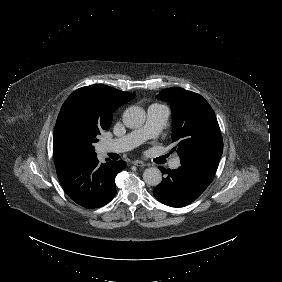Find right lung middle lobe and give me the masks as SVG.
Wrapping results in <instances>:
<instances>
[{
    "instance_id": "1",
    "label": "right lung middle lobe",
    "mask_w": 282,
    "mask_h": 282,
    "mask_svg": "<svg viewBox=\"0 0 282 282\" xmlns=\"http://www.w3.org/2000/svg\"><path fill=\"white\" fill-rule=\"evenodd\" d=\"M101 131L102 130L98 128L95 124L78 123L73 125L69 129L68 135L70 139L76 144L82 146L91 153H95L93 143L98 141L96 136L100 134Z\"/></svg>"
}]
</instances>
